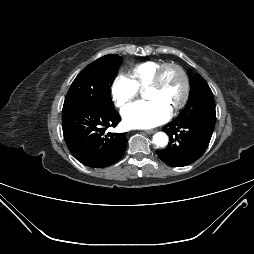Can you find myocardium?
I'll return each mask as SVG.
<instances>
[{
  "label": "myocardium",
  "mask_w": 254,
  "mask_h": 254,
  "mask_svg": "<svg viewBox=\"0 0 254 254\" xmlns=\"http://www.w3.org/2000/svg\"><path fill=\"white\" fill-rule=\"evenodd\" d=\"M168 69L176 70L180 74L182 83H183L181 97L178 100V102L176 103V105L174 106V108L171 110V113L174 114L185 105V103L187 102L188 97H189L190 82H189V78H188V75L185 72V70L180 65H178L176 63H173V62L164 63L156 70V72L153 76V79L151 80V82L149 83V85L147 87H148V89L158 88L161 85L163 74Z\"/></svg>",
  "instance_id": "obj_1"
}]
</instances>
